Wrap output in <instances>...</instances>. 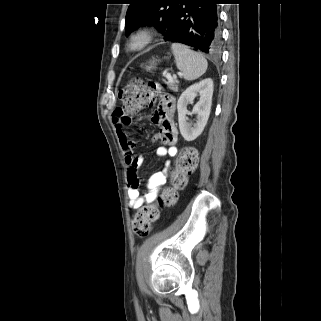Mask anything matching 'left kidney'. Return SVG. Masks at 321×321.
Listing matches in <instances>:
<instances>
[{
  "instance_id": "left-kidney-1",
  "label": "left kidney",
  "mask_w": 321,
  "mask_h": 321,
  "mask_svg": "<svg viewBox=\"0 0 321 321\" xmlns=\"http://www.w3.org/2000/svg\"><path fill=\"white\" fill-rule=\"evenodd\" d=\"M197 94L200 95V99L192 110V113L197 115V120L191 125L187 122L189 113L187 105L194 100ZM212 96L213 80L207 78L188 87L179 97L177 103L179 129L186 141L195 140L203 132L210 115Z\"/></svg>"
}]
</instances>
